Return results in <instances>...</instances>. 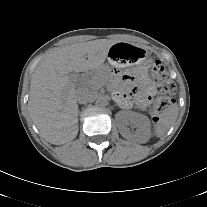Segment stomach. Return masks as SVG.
<instances>
[{
	"mask_svg": "<svg viewBox=\"0 0 207 207\" xmlns=\"http://www.w3.org/2000/svg\"><path fill=\"white\" fill-rule=\"evenodd\" d=\"M147 56L148 53L144 48L122 42L114 44L107 54L109 63L118 68L144 64Z\"/></svg>",
	"mask_w": 207,
	"mask_h": 207,
	"instance_id": "0dacf381",
	"label": "stomach"
}]
</instances>
